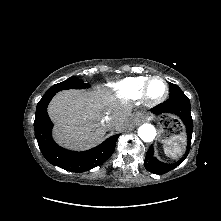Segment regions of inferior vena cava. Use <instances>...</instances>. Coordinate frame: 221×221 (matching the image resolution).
Listing matches in <instances>:
<instances>
[{"label":"inferior vena cava","mask_w":221,"mask_h":221,"mask_svg":"<svg viewBox=\"0 0 221 221\" xmlns=\"http://www.w3.org/2000/svg\"><path fill=\"white\" fill-rule=\"evenodd\" d=\"M101 124L104 126V127H107V128H111L114 124V121L111 117L109 116H104L101 120Z\"/></svg>","instance_id":"602c4592"}]
</instances>
